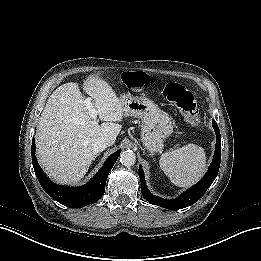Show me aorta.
<instances>
[{
    "mask_svg": "<svg viewBox=\"0 0 261 261\" xmlns=\"http://www.w3.org/2000/svg\"><path fill=\"white\" fill-rule=\"evenodd\" d=\"M120 162L126 167H130L136 162V155L132 150H125L120 155Z\"/></svg>",
    "mask_w": 261,
    "mask_h": 261,
    "instance_id": "obj_1",
    "label": "aorta"
}]
</instances>
